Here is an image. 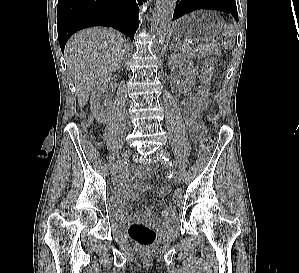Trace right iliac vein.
<instances>
[{"label":"right iliac vein","mask_w":299,"mask_h":273,"mask_svg":"<svg viewBox=\"0 0 299 273\" xmlns=\"http://www.w3.org/2000/svg\"><path fill=\"white\" fill-rule=\"evenodd\" d=\"M131 153H132L131 149L127 148L126 150H124V152L120 156V158L117 162V165L115 167V170L113 172V177H112L113 182H117L128 158L131 156Z\"/></svg>","instance_id":"63e3f726"}]
</instances>
